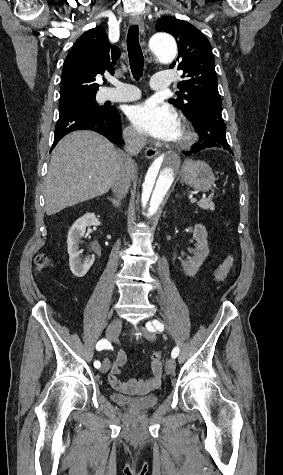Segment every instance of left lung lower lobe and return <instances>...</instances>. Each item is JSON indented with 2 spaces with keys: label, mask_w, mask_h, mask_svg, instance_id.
<instances>
[{
  "label": "left lung lower lobe",
  "mask_w": 283,
  "mask_h": 475,
  "mask_svg": "<svg viewBox=\"0 0 283 475\" xmlns=\"http://www.w3.org/2000/svg\"><path fill=\"white\" fill-rule=\"evenodd\" d=\"M194 127L200 136V140L193 146V150L183 152L185 155L199 152L205 148L218 147L232 153L226 140V126L222 119L221 105H202L198 114L192 118Z\"/></svg>",
  "instance_id": "left-lung-lower-lobe-1"
}]
</instances>
